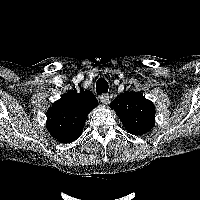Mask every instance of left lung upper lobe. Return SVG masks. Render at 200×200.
I'll return each instance as SVG.
<instances>
[{"label":"left lung upper lobe","instance_id":"1","mask_svg":"<svg viewBox=\"0 0 200 200\" xmlns=\"http://www.w3.org/2000/svg\"><path fill=\"white\" fill-rule=\"evenodd\" d=\"M126 130L135 135L143 134L154 126L155 107L139 92H125L110 104Z\"/></svg>","mask_w":200,"mask_h":200}]
</instances>
